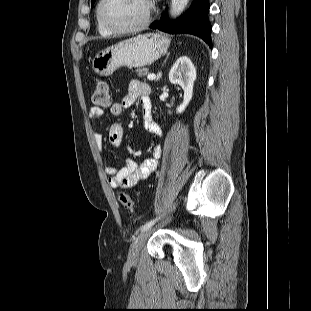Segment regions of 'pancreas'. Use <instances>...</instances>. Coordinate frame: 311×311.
Listing matches in <instances>:
<instances>
[{"label": "pancreas", "instance_id": "obj_1", "mask_svg": "<svg viewBox=\"0 0 311 311\" xmlns=\"http://www.w3.org/2000/svg\"><path fill=\"white\" fill-rule=\"evenodd\" d=\"M136 73L139 77L145 76L148 73V69L147 68L137 69Z\"/></svg>", "mask_w": 311, "mask_h": 311}]
</instances>
